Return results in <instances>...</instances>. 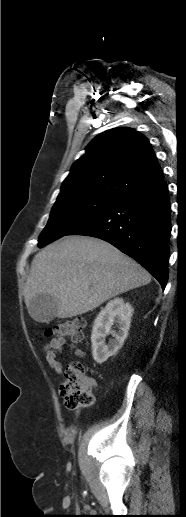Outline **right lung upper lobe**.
Masks as SVG:
<instances>
[{"mask_svg": "<svg viewBox=\"0 0 186 517\" xmlns=\"http://www.w3.org/2000/svg\"><path fill=\"white\" fill-rule=\"evenodd\" d=\"M163 179L146 137L131 128H116L95 137L72 166L58 198L92 194L120 198Z\"/></svg>", "mask_w": 186, "mask_h": 517, "instance_id": "obj_1", "label": "right lung upper lobe"}]
</instances>
